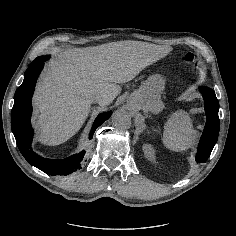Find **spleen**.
Returning <instances> with one entry per match:
<instances>
[{
	"instance_id": "spleen-1",
	"label": "spleen",
	"mask_w": 236,
	"mask_h": 236,
	"mask_svg": "<svg viewBox=\"0 0 236 236\" xmlns=\"http://www.w3.org/2000/svg\"><path fill=\"white\" fill-rule=\"evenodd\" d=\"M196 134L189 114L179 110L164 125L163 143L172 151H184L194 143Z\"/></svg>"
}]
</instances>
